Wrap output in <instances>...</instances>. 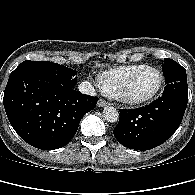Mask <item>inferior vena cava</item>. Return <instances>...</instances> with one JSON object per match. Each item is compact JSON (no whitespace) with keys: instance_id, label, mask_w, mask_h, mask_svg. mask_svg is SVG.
Here are the masks:
<instances>
[{"instance_id":"602c4592","label":"inferior vena cava","mask_w":195,"mask_h":195,"mask_svg":"<svg viewBox=\"0 0 195 195\" xmlns=\"http://www.w3.org/2000/svg\"><path fill=\"white\" fill-rule=\"evenodd\" d=\"M78 90L83 93V94H87V95H91V96H95L96 95V90L93 87V85L88 82V81H84L81 82L78 86Z\"/></svg>"}]
</instances>
